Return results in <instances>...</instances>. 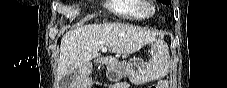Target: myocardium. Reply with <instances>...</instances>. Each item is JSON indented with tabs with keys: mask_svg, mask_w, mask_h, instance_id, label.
I'll use <instances>...</instances> for the list:
<instances>
[{
	"mask_svg": "<svg viewBox=\"0 0 227 88\" xmlns=\"http://www.w3.org/2000/svg\"><path fill=\"white\" fill-rule=\"evenodd\" d=\"M139 13L143 19H151L156 14V8L150 0H141Z\"/></svg>",
	"mask_w": 227,
	"mask_h": 88,
	"instance_id": "obj_1",
	"label": "myocardium"
}]
</instances>
